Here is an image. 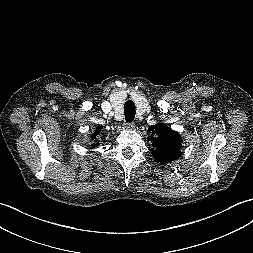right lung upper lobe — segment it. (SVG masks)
Returning <instances> with one entry per match:
<instances>
[{
	"label": "right lung upper lobe",
	"mask_w": 253,
	"mask_h": 253,
	"mask_svg": "<svg viewBox=\"0 0 253 253\" xmlns=\"http://www.w3.org/2000/svg\"><path fill=\"white\" fill-rule=\"evenodd\" d=\"M102 127L98 126L94 132V134H91V139L93 140L92 147L96 148L99 146V141L97 140L98 135H100Z\"/></svg>",
	"instance_id": "right-lung-upper-lobe-1"
}]
</instances>
